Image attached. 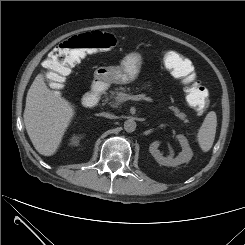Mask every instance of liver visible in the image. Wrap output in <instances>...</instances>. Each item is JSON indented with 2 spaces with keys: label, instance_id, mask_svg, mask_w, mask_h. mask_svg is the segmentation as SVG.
Instances as JSON below:
<instances>
[{
  "label": "liver",
  "instance_id": "6515ba94",
  "mask_svg": "<svg viewBox=\"0 0 245 245\" xmlns=\"http://www.w3.org/2000/svg\"><path fill=\"white\" fill-rule=\"evenodd\" d=\"M71 103L48 88L42 73L34 79L26 97L24 123L35 149L53 155L74 117Z\"/></svg>",
  "mask_w": 245,
  "mask_h": 245
}]
</instances>
